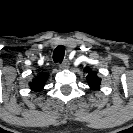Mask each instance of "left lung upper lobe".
Returning <instances> with one entry per match:
<instances>
[{"label": "left lung upper lobe", "mask_w": 133, "mask_h": 133, "mask_svg": "<svg viewBox=\"0 0 133 133\" xmlns=\"http://www.w3.org/2000/svg\"><path fill=\"white\" fill-rule=\"evenodd\" d=\"M85 71L88 73L86 79L88 81L89 87L92 90H98L101 84V78L97 76L90 68H85Z\"/></svg>", "instance_id": "5c2ea615"}]
</instances>
